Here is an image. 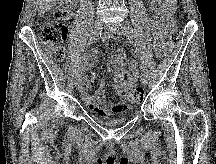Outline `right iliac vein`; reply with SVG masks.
I'll return each instance as SVG.
<instances>
[{"instance_id": "1", "label": "right iliac vein", "mask_w": 216, "mask_h": 164, "mask_svg": "<svg viewBox=\"0 0 216 164\" xmlns=\"http://www.w3.org/2000/svg\"><path fill=\"white\" fill-rule=\"evenodd\" d=\"M102 25H103V22H102L101 19H96L93 22V28H94L95 31H99L101 29ZM80 80H81V72L80 73H76V75H75L74 83H75L76 87L79 85Z\"/></svg>"}]
</instances>
